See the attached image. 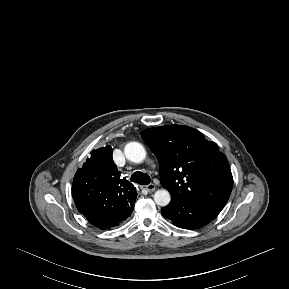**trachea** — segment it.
Masks as SVG:
<instances>
[{
	"label": "trachea",
	"mask_w": 289,
	"mask_h": 289,
	"mask_svg": "<svg viewBox=\"0 0 289 289\" xmlns=\"http://www.w3.org/2000/svg\"><path fill=\"white\" fill-rule=\"evenodd\" d=\"M131 181L141 184V185H148L151 181L150 176L146 173L136 171L131 176Z\"/></svg>",
	"instance_id": "obj_1"
}]
</instances>
